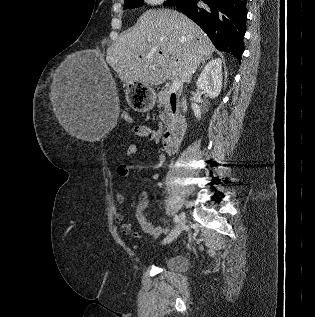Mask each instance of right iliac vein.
<instances>
[{
	"instance_id": "1",
	"label": "right iliac vein",
	"mask_w": 315,
	"mask_h": 317,
	"mask_svg": "<svg viewBox=\"0 0 315 317\" xmlns=\"http://www.w3.org/2000/svg\"><path fill=\"white\" fill-rule=\"evenodd\" d=\"M185 222H186L185 214L182 212L176 226L171 231V233L163 240L162 244H168V243H171L173 240H175L179 236V234L182 232L185 226Z\"/></svg>"
}]
</instances>
